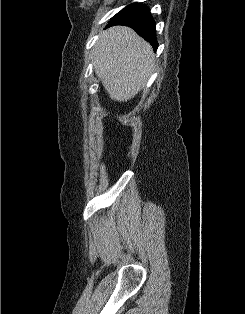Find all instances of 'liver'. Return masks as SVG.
<instances>
[{
	"label": "liver",
	"instance_id": "obj_1",
	"mask_svg": "<svg viewBox=\"0 0 245 314\" xmlns=\"http://www.w3.org/2000/svg\"><path fill=\"white\" fill-rule=\"evenodd\" d=\"M91 60L110 98L118 102L130 100L144 88L155 64L151 45L125 26L103 31Z\"/></svg>",
	"mask_w": 245,
	"mask_h": 314
}]
</instances>
